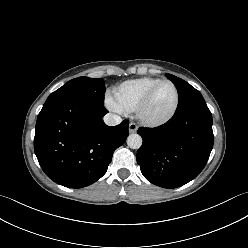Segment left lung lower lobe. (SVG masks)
<instances>
[{"mask_svg": "<svg viewBox=\"0 0 248 248\" xmlns=\"http://www.w3.org/2000/svg\"><path fill=\"white\" fill-rule=\"evenodd\" d=\"M143 144L136 159L143 176L164 187H180L205 167L214 137L212 114L205 101L176 111L171 120L156 128H139Z\"/></svg>", "mask_w": 248, "mask_h": 248, "instance_id": "obj_1", "label": "left lung lower lobe"}]
</instances>
